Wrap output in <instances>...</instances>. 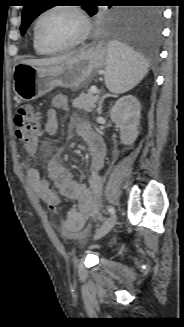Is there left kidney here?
Wrapping results in <instances>:
<instances>
[{"mask_svg": "<svg viewBox=\"0 0 184 327\" xmlns=\"http://www.w3.org/2000/svg\"><path fill=\"white\" fill-rule=\"evenodd\" d=\"M141 105L133 95L118 99L110 112L111 120L120 127V138L125 145H132L138 137Z\"/></svg>", "mask_w": 184, "mask_h": 327, "instance_id": "1", "label": "left kidney"}]
</instances>
